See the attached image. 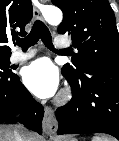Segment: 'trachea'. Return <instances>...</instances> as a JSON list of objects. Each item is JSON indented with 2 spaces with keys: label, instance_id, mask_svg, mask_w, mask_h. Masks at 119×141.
Segmentation results:
<instances>
[{
  "label": "trachea",
  "instance_id": "3493384b",
  "mask_svg": "<svg viewBox=\"0 0 119 141\" xmlns=\"http://www.w3.org/2000/svg\"><path fill=\"white\" fill-rule=\"evenodd\" d=\"M40 38L42 42L45 44V46L49 48L50 50L57 51V52L66 51V50L54 49L50 31L46 27V25L40 20H37L34 22L31 32L25 38L17 40V45L20 46L22 49H27L35 45Z\"/></svg>",
  "mask_w": 119,
  "mask_h": 141
}]
</instances>
